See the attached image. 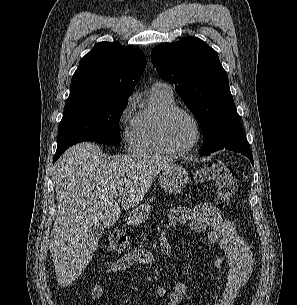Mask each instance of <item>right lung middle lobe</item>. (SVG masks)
<instances>
[{
  "label": "right lung middle lobe",
  "mask_w": 297,
  "mask_h": 305,
  "mask_svg": "<svg viewBox=\"0 0 297 305\" xmlns=\"http://www.w3.org/2000/svg\"><path fill=\"white\" fill-rule=\"evenodd\" d=\"M127 98L82 100L65 104L57 150H66L83 141L119 145L118 123L128 104Z\"/></svg>",
  "instance_id": "dd1d6c3e"
}]
</instances>
